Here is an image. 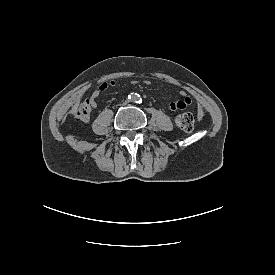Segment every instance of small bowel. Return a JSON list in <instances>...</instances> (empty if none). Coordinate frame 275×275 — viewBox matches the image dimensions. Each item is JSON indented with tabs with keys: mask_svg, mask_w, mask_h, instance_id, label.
I'll return each mask as SVG.
<instances>
[{
	"mask_svg": "<svg viewBox=\"0 0 275 275\" xmlns=\"http://www.w3.org/2000/svg\"><path fill=\"white\" fill-rule=\"evenodd\" d=\"M109 87L108 83H101L98 88L96 90H94L91 94V96L89 97L90 99V105L92 108H96L98 103H97V99L99 97V95L104 92L105 90H107ZM181 96H183V98L177 102H172L170 104V108L172 110H177V109H184L188 106L191 105L192 103V99L186 95L185 91H181L180 92ZM204 113L203 110L201 108H198V119H202Z\"/></svg>",
	"mask_w": 275,
	"mask_h": 275,
	"instance_id": "small-bowel-1",
	"label": "small bowel"
}]
</instances>
